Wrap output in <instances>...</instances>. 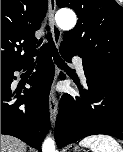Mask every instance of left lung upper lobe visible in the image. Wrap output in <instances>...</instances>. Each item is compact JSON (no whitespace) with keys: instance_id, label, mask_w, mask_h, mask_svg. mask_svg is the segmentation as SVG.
Returning <instances> with one entry per match:
<instances>
[{"instance_id":"left-lung-upper-lobe-1","label":"left lung upper lobe","mask_w":123,"mask_h":152,"mask_svg":"<svg viewBox=\"0 0 123 152\" xmlns=\"http://www.w3.org/2000/svg\"><path fill=\"white\" fill-rule=\"evenodd\" d=\"M73 9L76 26L61 45L98 69L123 73V8L115 0H57Z\"/></svg>"}]
</instances>
